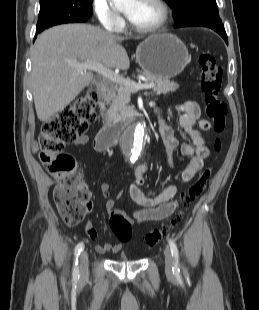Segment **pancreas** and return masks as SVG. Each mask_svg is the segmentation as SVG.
Here are the masks:
<instances>
[{"label": "pancreas", "mask_w": 259, "mask_h": 310, "mask_svg": "<svg viewBox=\"0 0 259 310\" xmlns=\"http://www.w3.org/2000/svg\"><path fill=\"white\" fill-rule=\"evenodd\" d=\"M149 83H153V91L158 94H167L175 92L179 85L171 82L168 79L157 78L147 73H143ZM131 91L124 86L114 85L112 92L106 96V102L109 108L103 114L107 124L117 122H127L131 115L133 107L129 106Z\"/></svg>", "instance_id": "pancreas-1"}]
</instances>
